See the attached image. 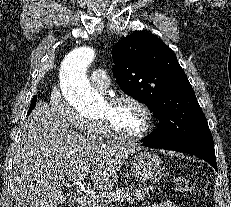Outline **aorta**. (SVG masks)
Returning <instances> with one entry per match:
<instances>
[{
  "instance_id": "aorta-1",
  "label": "aorta",
  "mask_w": 231,
  "mask_h": 207,
  "mask_svg": "<svg viewBox=\"0 0 231 207\" xmlns=\"http://www.w3.org/2000/svg\"><path fill=\"white\" fill-rule=\"evenodd\" d=\"M95 57V50L82 46L70 51L60 67V84L65 100L80 112L96 109L103 97L91 86L86 71Z\"/></svg>"
}]
</instances>
